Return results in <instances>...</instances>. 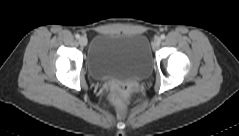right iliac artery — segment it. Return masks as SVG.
Here are the masks:
<instances>
[{
  "label": "right iliac artery",
  "instance_id": "right-iliac-artery-1",
  "mask_svg": "<svg viewBox=\"0 0 239 136\" xmlns=\"http://www.w3.org/2000/svg\"><path fill=\"white\" fill-rule=\"evenodd\" d=\"M75 37H76L77 39H79V38H80V35H79V34H76Z\"/></svg>",
  "mask_w": 239,
  "mask_h": 136
}]
</instances>
